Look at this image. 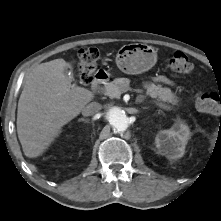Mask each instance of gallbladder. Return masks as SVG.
<instances>
[{"instance_id": "obj_1", "label": "gallbladder", "mask_w": 221, "mask_h": 221, "mask_svg": "<svg viewBox=\"0 0 221 221\" xmlns=\"http://www.w3.org/2000/svg\"><path fill=\"white\" fill-rule=\"evenodd\" d=\"M70 70H68L67 68L65 69V73L67 74Z\"/></svg>"}]
</instances>
